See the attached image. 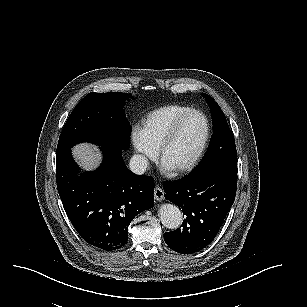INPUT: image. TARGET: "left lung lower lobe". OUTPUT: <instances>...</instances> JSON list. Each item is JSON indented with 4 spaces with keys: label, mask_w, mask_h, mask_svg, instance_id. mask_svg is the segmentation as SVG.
<instances>
[{
    "label": "left lung lower lobe",
    "mask_w": 307,
    "mask_h": 307,
    "mask_svg": "<svg viewBox=\"0 0 307 307\" xmlns=\"http://www.w3.org/2000/svg\"><path fill=\"white\" fill-rule=\"evenodd\" d=\"M236 188L237 173L218 168L165 181V198L185 216L180 228L164 233L167 245L181 254L196 253L208 246L234 203Z\"/></svg>",
    "instance_id": "0a47b994"
}]
</instances>
